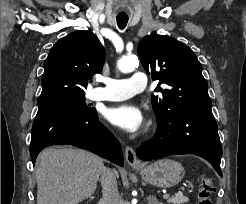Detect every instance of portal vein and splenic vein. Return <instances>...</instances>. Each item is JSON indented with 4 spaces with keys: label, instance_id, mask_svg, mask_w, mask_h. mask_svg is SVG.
I'll use <instances>...</instances> for the list:
<instances>
[{
    "label": "portal vein and splenic vein",
    "instance_id": "18ae733b",
    "mask_svg": "<svg viewBox=\"0 0 246 204\" xmlns=\"http://www.w3.org/2000/svg\"><path fill=\"white\" fill-rule=\"evenodd\" d=\"M177 195H182V193H181V192H178ZM163 198H164V199H168V198H169V195L166 194V195L163 196Z\"/></svg>",
    "mask_w": 246,
    "mask_h": 204
}]
</instances>
